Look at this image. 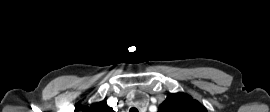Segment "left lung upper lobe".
I'll list each match as a JSON object with an SVG mask.
<instances>
[{"instance_id": "left-lung-upper-lobe-1", "label": "left lung upper lobe", "mask_w": 270, "mask_h": 112, "mask_svg": "<svg viewBox=\"0 0 270 112\" xmlns=\"http://www.w3.org/2000/svg\"><path fill=\"white\" fill-rule=\"evenodd\" d=\"M158 112H207L204 106L184 93L170 94Z\"/></svg>"}]
</instances>
